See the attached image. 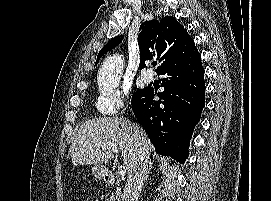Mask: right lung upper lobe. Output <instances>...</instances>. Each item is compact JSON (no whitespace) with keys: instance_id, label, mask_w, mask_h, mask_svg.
Instances as JSON below:
<instances>
[{"instance_id":"obj_1","label":"right lung upper lobe","mask_w":271,"mask_h":201,"mask_svg":"<svg viewBox=\"0 0 271 201\" xmlns=\"http://www.w3.org/2000/svg\"><path fill=\"white\" fill-rule=\"evenodd\" d=\"M139 30L140 69L145 66L146 60L157 57L161 62V65L155 70L158 71L164 64L175 57L190 38L186 29L172 16L164 17L160 21H146L141 24ZM123 38L124 36H117L110 40L100 50L96 64L105 53L119 45Z\"/></svg>"}]
</instances>
